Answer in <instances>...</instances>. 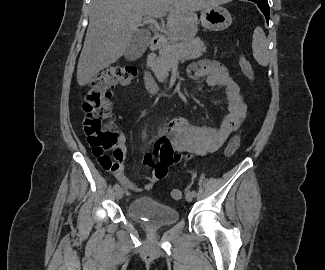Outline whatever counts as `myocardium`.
<instances>
[{"mask_svg": "<svg viewBox=\"0 0 325 270\" xmlns=\"http://www.w3.org/2000/svg\"><path fill=\"white\" fill-rule=\"evenodd\" d=\"M216 2H225V1H229V0H215Z\"/></svg>", "mask_w": 325, "mask_h": 270, "instance_id": "myocardium-1", "label": "myocardium"}]
</instances>
